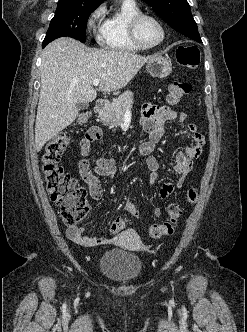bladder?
Listing matches in <instances>:
<instances>
[{
    "label": "bladder",
    "mask_w": 247,
    "mask_h": 332,
    "mask_svg": "<svg viewBox=\"0 0 247 332\" xmlns=\"http://www.w3.org/2000/svg\"><path fill=\"white\" fill-rule=\"evenodd\" d=\"M101 274L114 283L130 284L141 274V259L134 253L122 249H111L99 259Z\"/></svg>",
    "instance_id": "1"
}]
</instances>
